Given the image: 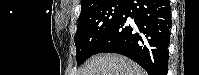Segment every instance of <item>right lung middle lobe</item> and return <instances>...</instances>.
<instances>
[{"label":"right lung middle lobe","mask_w":199,"mask_h":75,"mask_svg":"<svg viewBox=\"0 0 199 75\" xmlns=\"http://www.w3.org/2000/svg\"><path fill=\"white\" fill-rule=\"evenodd\" d=\"M127 0H104L82 10L75 34L76 61L82 64L119 21Z\"/></svg>","instance_id":"right-lung-middle-lobe-1"}]
</instances>
